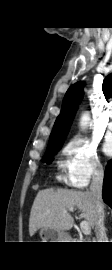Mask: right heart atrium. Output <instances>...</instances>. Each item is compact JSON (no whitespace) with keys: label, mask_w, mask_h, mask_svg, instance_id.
Here are the masks:
<instances>
[{"label":"right heart atrium","mask_w":112,"mask_h":270,"mask_svg":"<svg viewBox=\"0 0 112 270\" xmlns=\"http://www.w3.org/2000/svg\"><path fill=\"white\" fill-rule=\"evenodd\" d=\"M61 168L65 183L84 188L91 179L103 175L104 167L94 143L83 138H72L62 149Z\"/></svg>","instance_id":"d8ad5b80"}]
</instances>
